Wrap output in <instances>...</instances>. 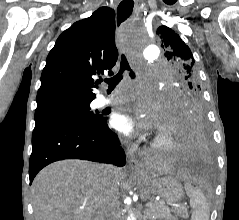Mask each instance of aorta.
<instances>
[{
    "instance_id": "762f6f07",
    "label": "aorta",
    "mask_w": 239,
    "mask_h": 220,
    "mask_svg": "<svg viewBox=\"0 0 239 220\" xmlns=\"http://www.w3.org/2000/svg\"><path fill=\"white\" fill-rule=\"evenodd\" d=\"M125 40H146L143 38V33H126ZM125 46H141L143 52H145V59L153 60L159 55L158 47L153 43V45H125ZM128 200V199H126ZM127 220H136L135 216L130 213Z\"/></svg>"
}]
</instances>
